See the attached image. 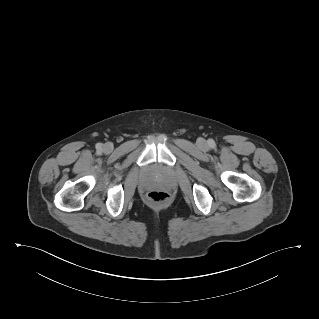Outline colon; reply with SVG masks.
I'll return each mask as SVG.
<instances>
[{
	"instance_id": "1",
	"label": "colon",
	"mask_w": 319,
	"mask_h": 319,
	"mask_svg": "<svg viewBox=\"0 0 319 319\" xmlns=\"http://www.w3.org/2000/svg\"><path fill=\"white\" fill-rule=\"evenodd\" d=\"M169 195L162 190H153L148 193V199L155 203H162L168 199Z\"/></svg>"
}]
</instances>
